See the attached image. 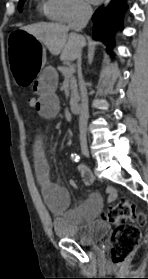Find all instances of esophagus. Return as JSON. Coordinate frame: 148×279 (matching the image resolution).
Listing matches in <instances>:
<instances>
[{
    "label": "esophagus",
    "mask_w": 148,
    "mask_h": 279,
    "mask_svg": "<svg viewBox=\"0 0 148 279\" xmlns=\"http://www.w3.org/2000/svg\"><path fill=\"white\" fill-rule=\"evenodd\" d=\"M108 2H109V0H105V5H107Z\"/></svg>",
    "instance_id": "obj_1"
}]
</instances>
